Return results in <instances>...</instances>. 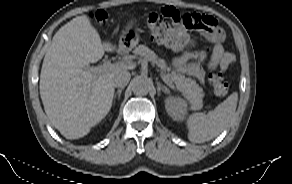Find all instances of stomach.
I'll use <instances>...</instances> for the list:
<instances>
[{
    "label": "stomach",
    "instance_id": "stomach-1",
    "mask_svg": "<svg viewBox=\"0 0 292 184\" xmlns=\"http://www.w3.org/2000/svg\"><path fill=\"white\" fill-rule=\"evenodd\" d=\"M140 40L138 31L134 28V21H131L122 31L119 47L127 50L134 48Z\"/></svg>",
    "mask_w": 292,
    "mask_h": 184
}]
</instances>
